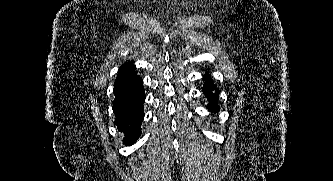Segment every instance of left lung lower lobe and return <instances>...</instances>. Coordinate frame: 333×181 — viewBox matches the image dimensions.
Listing matches in <instances>:
<instances>
[{"label": "left lung lower lobe", "instance_id": "obj_1", "mask_svg": "<svg viewBox=\"0 0 333 181\" xmlns=\"http://www.w3.org/2000/svg\"><path fill=\"white\" fill-rule=\"evenodd\" d=\"M202 90L206 97L209 99L208 109L213 112H217L219 110V106L216 103L218 98V91L216 90V92L213 93V90H215V86L212 83L211 78H209L208 76L205 77V83Z\"/></svg>", "mask_w": 333, "mask_h": 181}]
</instances>
